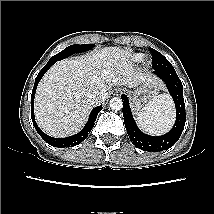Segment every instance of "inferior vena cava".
<instances>
[{"label":"inferior vena cava","mask_w":214,"mask_h":214,"mask_svg":"<svg viewBox=\"0 0 214 214\" xmlns=\"http://www.w3.org/2000/svg\"><path fill=\"white\" fill-rule=\"evenodd\" d=\"M108 97V92L101 89H94L87 93V100L91 104H100Z\"/></svg>","instance_id":"602c4592"}]
</instances>
